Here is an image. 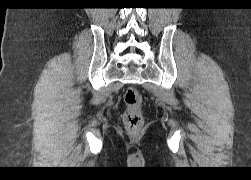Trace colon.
Masks as SVG:
<instances>
[{
  "instance_id": "1",
  "label": "colon",
  "mask_w": 251,
  "mask_h": 180,
  "mask_svg": "<svg viewBox=\"0 0 251 180\" xmlns=\"http://www.w3.org/2000/svg\"><path fill=\"white\" fill-rule=\"evenodd\" d=\"M124 102L126 105L123 121L128 131L138 132L143 126L142 105L143 98L140 92L130 87L124 93Z\"/></svg>"
}]
</instances>
